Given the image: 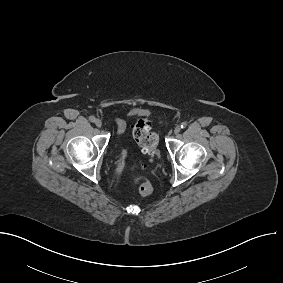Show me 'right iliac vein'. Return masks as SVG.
I'll return each mask as SVG.
<instances>
[{"label":"right iliac vein","mask_w":283,"mask_h":283,"mask_svg":"<svg viewBox=\"0 0 283 283\" xmlns=\"http://www.w3.org/2000/svg\"><path fill=\"white\" fill-rule=\"evenodd\" d=\"M95 125L100 128L102 126V121L100 119H96Z\"/></svg>","instance_id":"1"}]
</instances>
